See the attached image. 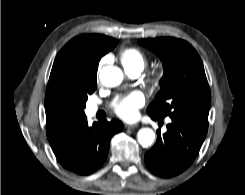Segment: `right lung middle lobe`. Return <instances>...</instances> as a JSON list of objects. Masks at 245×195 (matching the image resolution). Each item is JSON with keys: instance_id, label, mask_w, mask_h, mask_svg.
<instances>
[{"instance_id": "dd1d6c3e", "label": "right lung middle lobe", "mask_w": 245, "mask_h": 195, "mask_svg": "<svg viewBox=\"0 0 245 195\" xmlns=\"http://www.w3.org/2000/svg\"><path fill=\"white\" fill-rule=\"evenodd\" d=\"M117 43L111 45L112 50ZM97 66L90 68L86 65H80L77 70V79L75 81V96L82 108L86 106L88 95L92 94L96 89Z\"/></svg>"}]
</instances>
